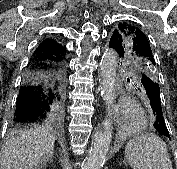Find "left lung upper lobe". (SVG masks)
Segmentation results:
<instances>
[{"label":"left lung upper lobe","mask_w":177,"mask_h":169,"mask_svg":"<svg viewBox=\"0 0 177 169\" xmlns=\"http://www.w3.org/2000/svg\"><path fill=\"white\" fill-rule=\"evenodd\" d=\"M109 45L116 50L120 58L131 60L143 73L154 81L157 80L150 43L138 26L128 22L119 23L111 34Z\"/></svg>","instance_id":"obj_1"}]
</instances>
